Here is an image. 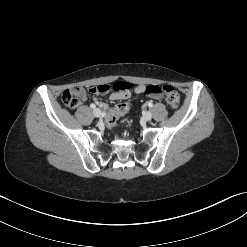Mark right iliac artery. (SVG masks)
Segmentation results:
<instances>
[{
	"label": "right iliac artery",
	"instance_id": "right-iliac-artery-1",
	"mask_svg": "<svg viewBox=\"0 0 247 247\" xmlns=\"http://www.w3.org/2000/svg\"><path fill=\"white\" fill-rule=\"evenodd\" d=\"M90 107L94 109L96 106L95 104H91Z\"/></svg>",
	"mask_w": 247,
	"mask_h": 247
}]
</instances>
